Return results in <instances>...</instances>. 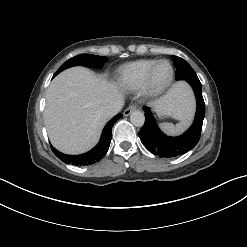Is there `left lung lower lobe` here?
Here are the masks:
<instances>
[{
  "label": "left lung lower lobe",
  "mask_w": 247,
  "mask_h": 247,
  "mask_svg": "<svg viewBox=\"0 0 247 247\" xmlns=\"http://www.w3.org/2000/svg\"><path fill=\"white\" fill-rule=\"evenodd\" d=\"M193 88L197 110L192 126L179 137H169L158 128L150 108L144 107L145 123L139 131L143 145L153 154L160 157H174L191 150L199 141L203 119L205 116V103L202 96V87L198 78L186 80Z\"/></svg>",
  "instance_id": "1"
}]
</instances>
